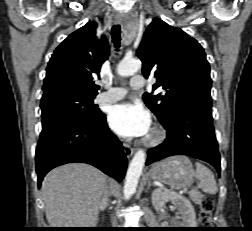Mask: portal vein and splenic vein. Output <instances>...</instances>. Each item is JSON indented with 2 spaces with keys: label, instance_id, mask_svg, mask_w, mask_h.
Wrapping results in <instances>:
<instances>
[{
  "label": "portal vein and splenic vein",
  "instance_id": "1",
  "mask_svg": "<svg viewBox=\"0 0 252 231\" xmlns=\"http://www.w3.org/2000/svg\"><path fill=\"white\" fill-rule=\"evenodd\" d=\"M185 193H187V189L186 188L180 190V194H185Z\"/></svg>",
  "mask_w": 252,
  "mask_h": 231
}]
</instances>
